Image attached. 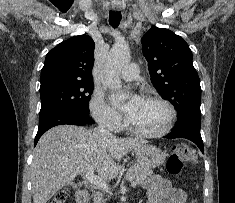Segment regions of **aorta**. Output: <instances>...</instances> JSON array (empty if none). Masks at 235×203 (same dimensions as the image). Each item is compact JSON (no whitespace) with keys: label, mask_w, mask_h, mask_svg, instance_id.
I'll return each instance as SVG.
<instances>
[{"label":"aorta","mask_w":235,"mask_h":203,"mask_svg":"<svg viewBox=\"0 0 235 203\" xmlns=\"http://www.w3.org/2000/svg\"><path fill=\"white\" fill-rule=\"evenodd\" d=\"M130 61V50L127 44H115L107 55V64L104 76V86L111 90L121 88L119 74L122 68Z\"/></svg>","instance_id":"1"}]
</instances>
